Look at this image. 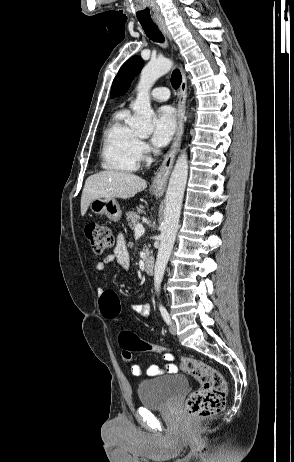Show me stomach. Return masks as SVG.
<instances>
[{"label":"stomach","mask_w":294,"mask_h":462,"mask_svg":"<svg viewBox=\"0 0 294 462\" xmlns=\"http://www.w3.org/2000/svg\"><path fill=\"white\" fill-rule=\"evenodd\" d=\"M154 195L158 197L160 196V192H154ZM89 207L92 213L96 215L104 214L113 222H118L122 215L120 206L115 198L94 199Z\"/></svg>","instance_id":"0dacf381"}]
</instances>
